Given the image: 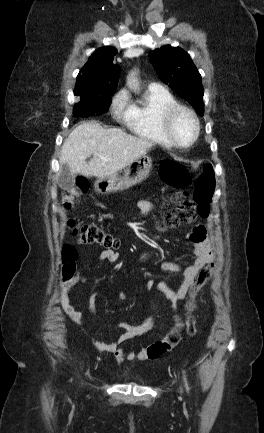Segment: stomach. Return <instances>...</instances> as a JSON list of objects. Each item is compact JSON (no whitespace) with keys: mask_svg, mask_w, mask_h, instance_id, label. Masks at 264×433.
<instances>
[{"mask_svg":"<svg viewBox=\"0 0 264 433\" xmlns=\"http://www.w3.org/2000/svg\"><path fill=\"white\" fill-rule=\"evenodd\" d=\"M151 169V157L143 155L128 165L124 176L115 175L97 180L95 182V191L100 194H107L126 190L146 179Z\"/></svg>","mask_w":264,"mask_h":433,"instance_id":"0dacf381","label":"stomach"}]
</instances>
